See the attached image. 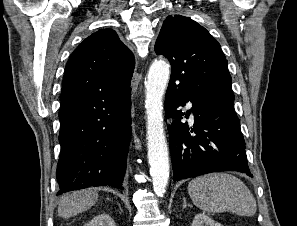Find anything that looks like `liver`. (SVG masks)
I'll list each match as a JSON object with an SVG mask.
<instances>
[{"instance_id":"obj_1","label":"liver","mask_w":297,"mask_h":226,"mask_svg":"<svg viewBox=\"0 0 297 226\" xmlns=\"http://www.w3.org/2000/svg\"><path fill=\"white\" fill-rule=\"evenodd\" d=\"M98 200V193L91 189L73 192L64 196L58 205V214L70 218L91 208Z\"/></svg>"}]
</instances>
